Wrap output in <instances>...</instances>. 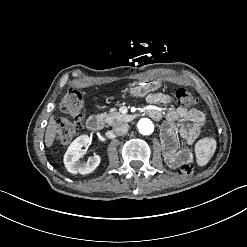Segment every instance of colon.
I'll return each mask as SVG.
<instances>
[{"label": "colon", "instance_id": "5ec220e1", "mask_svg": "<svg viewBox=\"0 0 247 247\" xmlns=\"http://www.w3.org/2000/svg\"><path fill=\"white\" fill-rule=\"evenodd\" d=\"M176 100L179 104L196 105L198 99L184 88L175 90ZM83 97L74 88H70L65 94L60 104V110L65 115L57 123V141L62 144L71 142L79 131L82 119ZM175 169L178 173L189 175L193 168L181 160L175 161Z\"/></svg>", "mask_w": 247, "mask_h": 247}]
</instances>
